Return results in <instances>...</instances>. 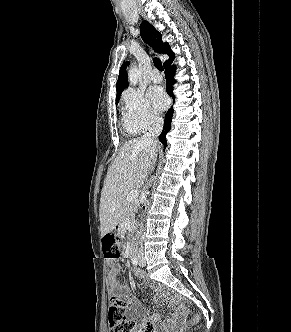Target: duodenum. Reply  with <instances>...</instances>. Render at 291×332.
<instances>
[{
	"mask_svg": "<svg viewBox=\"0 0 291 332\" xmlns=\"http://www.w3.org/2000/svg\"><path fill=\"white\" fill-rule=\"evenodd\" d=\"M135 247H136V243L134 241H132L130 244L129 252H128L129 257H133L135 255Z\"/></svg>",
	"mask_w": 291,
	"mask_h": 332,
	"instance_id": "1",
	"label": "duodenum"
}]
</instances>
